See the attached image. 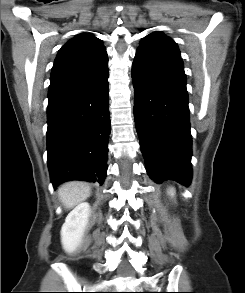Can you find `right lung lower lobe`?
I'll return each mask as SVG.
<instances>
[{
	"label": "right lung lower lobe",
	"instance_id": "right-lung-lower-lobe-1",
	"mask_svg": "<svg viewBox=\"0 0 245 293\" xmlns=\"http://www.w3.org/2000/svg\"><path fill=\"white\" fill-rule=\"evenodd\" d=\"M109 71L48 101L47 157L54 187L70 180L106 177Z\"/></svg>",
	"mask_w": 245,
	"mask_h": 293
}]
</instances>
